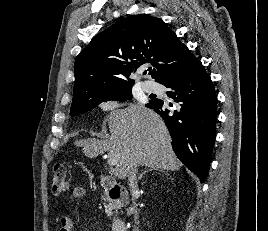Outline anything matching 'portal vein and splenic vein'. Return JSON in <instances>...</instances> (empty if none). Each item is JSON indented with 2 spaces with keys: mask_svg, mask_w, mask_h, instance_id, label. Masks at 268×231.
Here are the masks:
<instances>
[{
  "mask_svg": "<svg viewBox=\"0 0 268 231\" xmlns=\"http://www.w3.org/2000/svg\"><path fill=\"white\" fill-rule=\"evenodd\" d=\"M119 157L114 153L108 154L107 163L110 167L115 166L118 163Z\"/></svg>",
  "mask_w": 268,
  "mask_h": 231,
  "instance_id": "portal-vein-and-splenic-vein-1",
  "label": "portal vein and splenic vein"
}]
</instances>
